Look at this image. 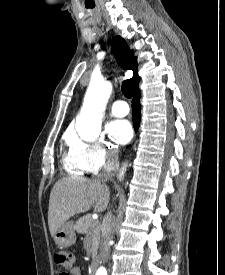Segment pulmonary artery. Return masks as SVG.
I'll list each match as a JSON object with an SVG mask.
<instances>
[{
    "label": "pulmonary artery",
    "instance_id": "pulmonary-artery-1",
    "mask_svg": "<svg viewBox=\"0 0 225 275\" xmlns=\"http://www.w3.org/2000/svg\"><path fill=\"white\" fill-rule=\"evenodd\" d=\"M110 112L113 116L123 117L126 116L129 112V107L126 102L118 100L114 102L110 108Z\"/></svg>",
    "mask_w": 225,
    "mask_h": 275
}]
</instances>
